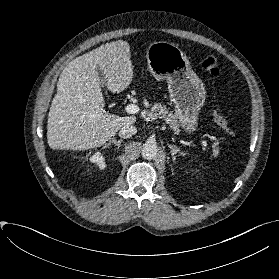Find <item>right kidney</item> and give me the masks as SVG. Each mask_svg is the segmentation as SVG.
Instances as JSON below:
<instances>
[{
	"instance_id": "1",
	"label": "right kidney",
	"mask_w": 279,
	"mask_h": 279,
	"mask_svg": "<svg viewBox=\"0 0 279 279\" xmlns=\"http://www.w3.org/2000/svg\"><path fill=\"white\" fill-rule=\"evenodd\" d=\"M87 159H88V157H87ZM89 161L91 163L96 164L100 169H104L106 167L105 157H104L103 153H101L100 151H96L95 153H93L89 157Z\"/></svg>"
}]
</instances>
